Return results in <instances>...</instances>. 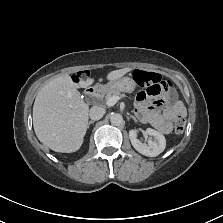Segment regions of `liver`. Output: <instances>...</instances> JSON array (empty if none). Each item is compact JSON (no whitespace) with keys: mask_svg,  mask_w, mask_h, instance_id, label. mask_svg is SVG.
Segmentation results:
<instances>
[{"mask_svg":"<svg viewBox=\"0 0 223 223\" xmlns=\"http://www.w3.org/2000/svg\"><path fill=\"white\" fill-rule=\"evenodd\" d=\"M130 70L113 71L109 79H118ZM90 84L91 80L80 83L83 88ZM77 87L68 75H63L46 84L36 97L33 107L35 132L39 140L54 151L74 152L82 144L89 108Z\"/></svg>","mask_w":223,"mask_h":223,"instance_id":"1","label":"liver"}]
</instances>
